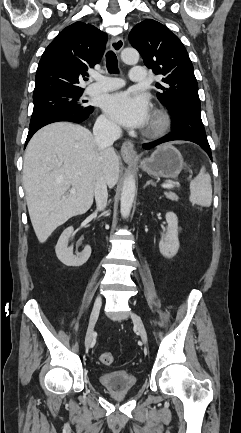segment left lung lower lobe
Instances as JSON below:
<instances>
[{
	"instance_id": "left-lung-lower-lobe-1",
	"label": "left lung lower lobe",
	"mask_w": 241,
	"mask_h": 433,
	"mask_svg": "<svg viewBox=\"0 0 241 433\" xmlns=\"http://www.w3.org/2000/svg\"><path fill=\"white\" fill-rule=\"evenodd\" d=\"M174 140H185V141L194 142V143L200 145L208 153L209 157L212 159L211 149H210V146L208 144L202 143V142L195 140L191 137L181 135V134H176V133H171V134H168L165 137H163L157 141H154L151 143H146L143 145V148L144 149H150V148L155 147L161 143L168 142V141H174Z\"/></svg>"
}]
</instances>
